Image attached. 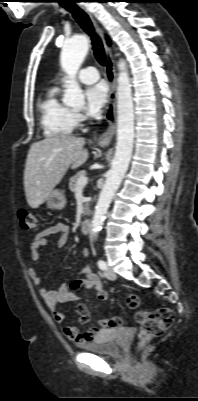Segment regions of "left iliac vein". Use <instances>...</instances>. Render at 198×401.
<instances>
[{"label": "left iliac vein", "instance_id": "obj_1", "mask_svg": "<svg viewBox=\"0 0 198 401\" xmlns=\"http://www.w3.org/2000/svg\"><path fill=\"white\" fill-rule=\"evenodd\" d=\"M104 276L109 280H115L116 279L115 272L109 267L105 269Z\"/></svg>", "mask_w": 198, "mask_h": 401}]
</instances>
